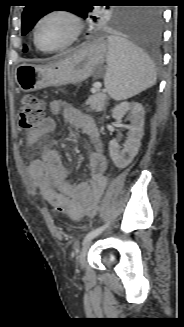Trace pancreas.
<instances>
[{"instance_id": "1", "label": "pancreas", "mask_w": 184, "mask_h": 327, "mask_svg": "<svg viewBox=\"0 0 184 327\" xmlns=\"http://www.w3.org/2000/svg\"><path fill=\"white\" fill-rule=\"evenodd\" d=\"M106 100V94L100 90H96L95 92H92V95L89 96L86 104L89 105V110L100 112L104 110Z\"/></svg>"}]
</instances>
